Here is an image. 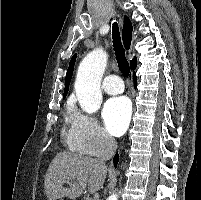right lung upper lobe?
Here are the masks:
<instances>
[{"label": "right lung upper lobe", "instance_id": "right-lung-upper-lobe-1", "mask_svg": "<svg viewBox=\"0 0 201 200\" xmlns=\"http://www.w3.org/2000/svg\"><path fill=\"white\" fill-rule=\"evenodd\" d=\"M132 29L133 28H132L131 21L129 20V18L127 16H125L123 30H122V39H123L124 46L127 50L130 48V45H131ZM75 59H76V55H74L72 57L70 64H69V68L67 70L66 79H65L66 85H65L63 97H65L67 95V92L69 89V84H70V80H71L72 74H73V67H74ZM130 65H131V68L134 70L137 66V59L134 58L130 62Z\"/></svg>", "mask_w": 201, "mask_h": 200}]
</instances>
